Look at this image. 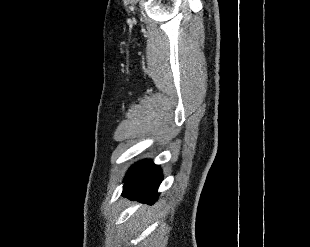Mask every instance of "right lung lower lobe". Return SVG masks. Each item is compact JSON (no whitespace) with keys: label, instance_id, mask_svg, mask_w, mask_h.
I'll list each match as a JSON object with an SVG mask.
<instances>
[{"label":"right lung lower lobe","instance_id":"obj_1","mask_svg":"<svg viewBox=\"0 0 310 247\" xmlns=\"http://www.w3.org/2000/svg\"><path fill=\"white\" fill-rule=\"evenodd\" d=\"M162 181L161 169L152 161L142 160L127 173L123 196L152 204L158 198L157 189Z\"/></svg>","mask_w":310,"mask_h":247}]
</instances>
